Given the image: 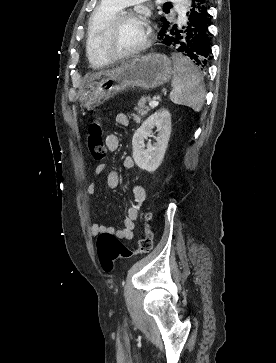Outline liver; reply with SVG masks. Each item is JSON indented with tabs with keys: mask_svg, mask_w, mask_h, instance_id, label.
<instances>
[{
	"mask_svg": "<svg viewBox=\"0 0 276 363\" xmlns=\"http://www.w3.org/2000/svg\"><path fill=\"white\" fill-rule=\"evenodd\" d=\"M107 71H109V70H106V71L105 70H102V71H99V72H96V73L92 74L89 77L88 81L91 82V81L95 80L97 77H99L100 75L106 73Z\"/></svg>",
	"mask_w": 276,
	"mask_h": 363,
	"instance_id": "obj_1",
	"label": "liver"
}]
</instances>
